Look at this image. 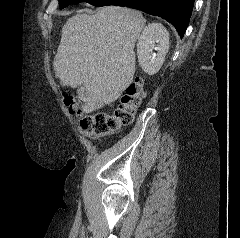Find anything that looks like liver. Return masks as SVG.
I'll list each match as a JSON object with an SVG mask.
<instances>
[{"label": "liver", "instance_id": "6515ba94", "mask_svg": "<svg viewBox=\"0 0 240 238\" xmlns=\"http://www.w3.org/2000/svg\"><path fill=\"white\" fill-rule=\"evenodd\" d=\"M145 22L140 12L116 6L67 20L53 66L62 86H80L84 113L112 106L131 84L133 50Z\"/></svg>", "mask_w": 240, "mask_h": 238}]
</instances>
